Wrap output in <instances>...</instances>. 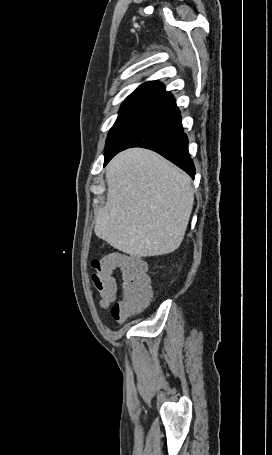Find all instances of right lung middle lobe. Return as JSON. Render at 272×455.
<instances>
[{
    "label": "right lung middle lobe",
    "instance_id": "right-lung-middle-lobe-1",
    "mask_svg": "<svg viewBox=\"0 0 272 455\" xmlns=\"http://www.w3.org/2000/svg\"><path fill=\"white\" fill-rule=\"evenodd\" d=\"M165 106L164 103L154 101H125L120 108L116 122L109 131L106 140L105 153L111 150L131 129L160 111Z\"/></svg>",
    "mask_w": 272,
    "mask_h": 455
}]
</instances>
